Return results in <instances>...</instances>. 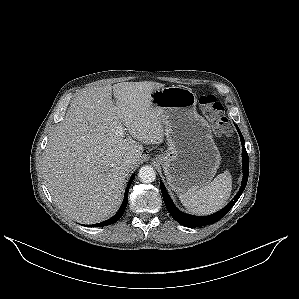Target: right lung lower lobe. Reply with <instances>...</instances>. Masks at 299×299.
Wrapping results in <instances>:
<instances>
[{
	"label": "right lung lower lobe",
	"instance_id": "1",
	"mask_svg": "<svg viewBox=\"0 0 299 299\" xmlns=\"http://www.w3.org/2000/svg\"><path fill=\"white\" fill-rule=\"evenodd\" d=\"M134 175L131 177L128 185H127V188H126V191H125V195H124V200H123V203L119 209V211L110 219L104 221V222H101V223H97V224H93V225H88L90 227H101V226H107V225H111L113 223H115L116 221H118L121 216L123 215L125 209H126V206H127V201H128V191H129V188H130V185L134 179Z\"/></svg>",
	"mask_w": 299,
	"mask_h": 299
}]
</instances>
